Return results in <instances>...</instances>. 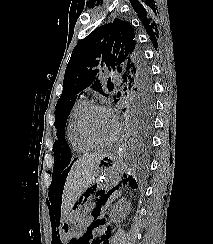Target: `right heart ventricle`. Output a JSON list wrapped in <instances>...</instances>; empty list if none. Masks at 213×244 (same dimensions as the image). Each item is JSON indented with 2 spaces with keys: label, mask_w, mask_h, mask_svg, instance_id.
I'll use <instances>...</instances> for the list:
<instances>
[{
  "label": "right heart ventricle",
  "mask_w": 213,
  "mask_h": 244,
  "mask_svg": "<svg viewBox=\"0 0 213 244\" xmlns=\"http://www.w3.org/2000/svg\"><path fill=\"white\" fill-rule=\"evenodd\" d=\"M89 106V102L78 99L73 105L66 123V139L71 149L77 153H86L93 149V146L86 143L79 133V121L84 110Z\"/></svg>",
  "instance_id": "1"
}]
</instances>
